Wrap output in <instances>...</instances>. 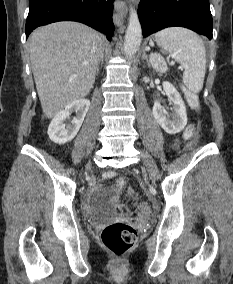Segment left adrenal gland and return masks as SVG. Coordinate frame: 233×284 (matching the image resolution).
<instances>
[{
  "instance_id": "obj_1",
  "label": "left adrenal gland",
  "mask_w": 233,
  "mask_h": 284,
  "mask_svg": "<svg viewBox=\"0 0 233 284\" xmlns=\"http://www.w3.org/2000/svg\"><path fill=\"white\" fill-rule=\"evenodd\" d=\"M143 59H145V60L147 61V63H148V66H150V65H149V61H148V56L146 55V52H145V51H143L142 60H143Z\"/></svg>"
}]
</instances>
